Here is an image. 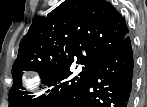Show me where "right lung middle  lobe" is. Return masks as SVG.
I'll return each instance as SVG.
<instances>
[{"label": "right lung middle lobe", "mask_w": 147, "mask_h": 107, "mask_svg": "<svg viewBox=\"0 0 147 107\" xmlns=\"http://www.w3.org/2000/svg\"><path fill=\"white\" fill-rule=\"evenodd\" d=\"M33 66V64H29L20 69L12 70L14 83L9 93L10 107H55L84 84L95 68L82 65V72L75 75L70 71L71 65L56 69L33 68ZM25 70L39 72L42 83L51 89L37 98H32L33 96L28 95L27 92L20 90L24 89L21 84V76L22 71Z\"/></svg>", "instance_id": "1"}]
</instances>
